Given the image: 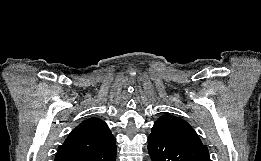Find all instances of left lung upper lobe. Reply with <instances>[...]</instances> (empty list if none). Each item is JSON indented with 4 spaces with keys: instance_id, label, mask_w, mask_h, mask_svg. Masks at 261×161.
Listing matches in <instances>:
<instances>
[{
    "instance_id": "5c2ea615",
    "label": "left lung upper lobe",
    "mask_w": 261,
    "mask_h": 161,
    "mask_svg": "<svg viewBox=\"0 0 261 161\" xmlns=\"http://www.w3.org/2000/svg\"><path fill=\"white\" fill-rule=\"evenodd\" d=\"M150 135L173 144L207 148L186 121L171 115L160 117L155 122Z\"/></svg>"
}]
</instances>
